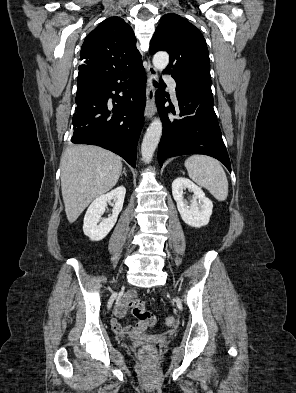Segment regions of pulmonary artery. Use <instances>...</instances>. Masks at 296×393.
Listing matches in <instances>:
<instances>
[{
  "label": "pulmonary artery",
  "instance_id": "1",
  "mask_svg": "<svg viewBox=\"0 0 296 393\" xmlns=\"http://www.w3.org/2000/svg\"><path fill=\"white\" fill-rule=\"evenodd\" d=\"M164 81L168 84L170 93L172 95V98L175 102H177V97H176V81L171 77V76H165Z\"/></svg>",
  "mask_w": 296,
  "mask_h": 393
}]
</instances>
